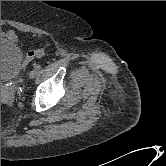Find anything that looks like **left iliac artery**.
Returning <instances> with one entry per match:
<instances>
[{
    "label": "left iliac artery",
    "mask_w": 166,
    "mask_h": 166,
    "mask_svg": "<svg viewBox=\"0 0 166 166\" xmlns=\"http://www.w3.org/2000/svg\"><path fill=\"white\" fill-rule=\"evenodd\" d=\"M34 67H35L36 70H40V68H41V66L38 65V64H36Z\"/></svg>",
    "instance_id": "44dca946"
}]
</instances>
